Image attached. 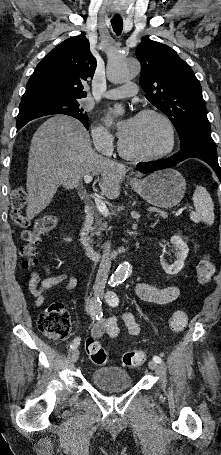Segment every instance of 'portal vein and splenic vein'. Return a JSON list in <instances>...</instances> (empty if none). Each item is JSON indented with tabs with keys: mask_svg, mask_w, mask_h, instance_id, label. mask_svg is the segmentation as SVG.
I'll return each mask as SVG.
<instances>
[{
	"mask_svg": "<svg viewBox=\"0 0 221 455\" xmlns=\"http://www.w3.org/2000/svg\"><path fill=\"white\" fill-rule=\"evenodd\" d=\"M91 181H92V176H91V175H85V176H84V182H85L86 184H89ZM93 198H94L95 205H96V208L98 209V211H99L104 217H108V216H109V210H108L107 206L105 205V203L98 197L97 194H94V195H93ZM184 210H186V207L180 208V209L175 213V216H179Z\"/></svg>",
	"mask_w": 221,
	"mask_h": 455,
	"instance_id": "1",
	"label": "portal vein and splenic vein"
}]
</instances>
